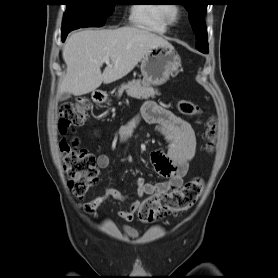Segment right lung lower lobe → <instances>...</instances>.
I'll return each mask as SVG.
<instances>
[{
	"label": "right lung lower lobe",
	"mask_w": 278,
	"mask_h": 278,
	"mask_svg": "<svg viewBox=\"0 0 278 278\" xmlns=\"http://www.w3.org/2000/svg\"><path fill=\"white\" fill-rule=\"evenodd\" d=\"M68 32H62V40L64 41Z\"/></svg>",
	"instance_id": "98d812e1"
}]
</instances>
